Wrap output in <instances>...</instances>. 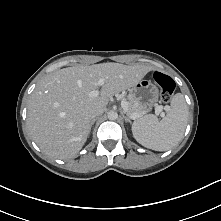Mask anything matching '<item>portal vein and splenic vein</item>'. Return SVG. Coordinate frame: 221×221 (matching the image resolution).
Listing matches in <instances>:
<instances>
[{
  "mask_svg": "<svg viewBox=\"0 0 221 221\" xmlns=\"http://www.w3.org/2000/svg\"><path fill=\"white\" fill-rule=\"evenodd\" d=\"M104 83H105V80H104L103 78L99 79L98 84H99L100 86L104 85ZM98 95H99V91H98V90H93V91H91V92L89 93V96H90V97H96V96H98ZM121 107H122L123 110L126 112L127 109H128V103H127V101L122 100V101H121ZM161 111H162V107H161V106H156V108H155V114H156V115H159V114L161 113ZM141 116H142V115H140V114H133V115H131V118H132L133 120H135V119H137V118H139V117H141Z\"/></svg>",
  "mask_w": 221,
  "mask_h": 221,
  "instance_id": "obj_1",
  "label": "portal vein and splenic vein"
}]
</instances>
